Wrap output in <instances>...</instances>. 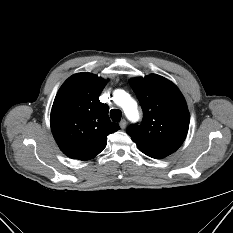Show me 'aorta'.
<instances>
[{
  "label": "aorta",
  "mask_w": 233,
  "mask_h": 233,
  "mask_svg": "<svg viewBox=\"0 0 233 233\" xmlns=\"http://www.w3.org/2000/svg\"><path fill=\"white\" fill-rule=\"evenodd\" d=\"M114 100L119 106L123 108L125 115L130 121L135 122L138 120L139 114L137 110V104L128 93L119 89L115 90Z\"/></svg>",
  "instance_id": "1"
}]
</instances>
